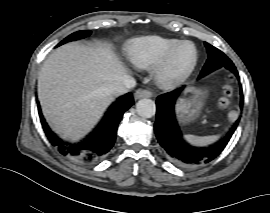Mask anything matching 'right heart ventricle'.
Instances as JSON below:
<instances>
[{"label": "right heart ventricle", "instance_id": "obj_1", "mask_svg": "<svg viewBox=\"0 0 270 213\" xmlns=\"http://www.w3.org/2000/svg\"><path fill=\"white\" fill-rule=\"evenodd\" d=\"M178 40L160 36H146L134 40L128 48L129 60L137 67L155 65Z\"/></svg>", "mask_w": 270, "mask_h": 213}]
</instances>
